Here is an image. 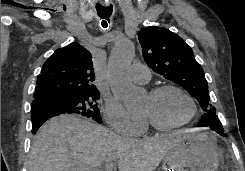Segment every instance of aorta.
<instances>
[{
    "label": "aorta",
    "mask_w": 245,
    "mask_h": 171,
    "mask_svg": "<svg viewBox=\"0 0 245 171\" xmlns=\"http://www.w3.org/2000/svg\"><path fill=\"white\" fill-rule=\"evenodd\" d=\"M134 53L133 42L120 39L111 50L107 63L112 92L128 111H140L145 98L144 91L135 87L127 78Z\"/></svg>",
    "instance_id": "762f6f07"
}]
</instances>
